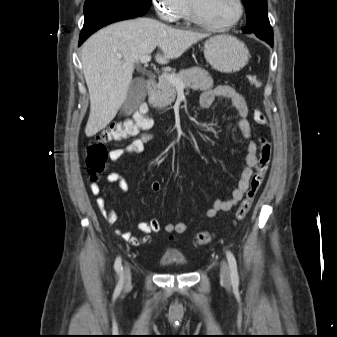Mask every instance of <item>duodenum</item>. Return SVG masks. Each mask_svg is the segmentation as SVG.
<instances>
[{
    "label": "duodenum",
    "instance_id": "obj_1",
    "mask_svg": "<svg viewBox=\"0 0 337 337\" xmlns=\"http://www.w3.org/2000/svg\"><path fill=\"white\" fill-rule=\"evenodd\" d=\"M146 83H147V87H148V90H153L157 84V78L156 76L154 75H150L147 77V80H146Z\"/></svg>",
    "mask_w": 337,
    "mask_h": 337
}]
</instances>
